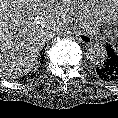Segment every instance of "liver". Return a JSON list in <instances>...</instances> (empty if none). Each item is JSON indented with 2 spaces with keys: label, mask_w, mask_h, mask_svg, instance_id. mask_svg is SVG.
I'll use <instances>...</instances> for the list:
<instances>
[{
  "label": "liver",
  "mask_w": 118,
  "mask_h": 118,
  "mask_svg": "<svg viewBox=\"0 0 118 118\" xmlns=\"http://www.w3.org/2000/svg\"><path fill=\"white\" fill-rule=\"evenodd\" d=\"M69 6L68 0H0V76L18 78L33 69Z\"/></svg>",
  "instance_id": "obj_1"
}]
</instances>
